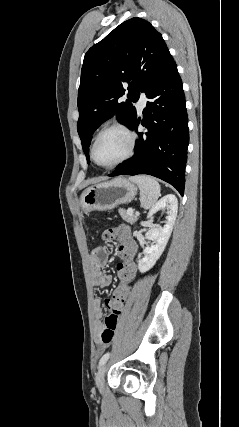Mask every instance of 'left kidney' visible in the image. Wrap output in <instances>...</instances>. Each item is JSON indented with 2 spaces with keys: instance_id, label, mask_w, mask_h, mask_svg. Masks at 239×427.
Here are the masks:
<instances>
[{
  "instance_id": "left-kidney-1",
  "label": "left kidney",
  "mask_w": 239,
  "mask_h": 427,
  "mask_svg": "<svg viewBox=\"0 0 239 427\" xmlns=\"http://www.w3.org/2000/svg\"><path fill=\"white\" fill-rule=\"evenodd\" d=\"M163 209H167L166 224L163 227L151 228L145 235L146 239L152 242L143 249L144 257L138 262V269L141 273L150 270L155 265L170 238L178 212V200L175 195L168 194L161 198L150 209L147 218H152L156 212Z\"/></svg>"
}]
</instances>
